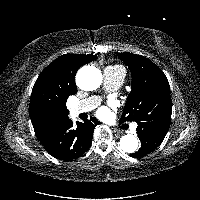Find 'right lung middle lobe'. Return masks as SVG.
Instances as JSON below:
<instances>
[{
	"label": "right lung middle lobe",
	"instance_id": "dd1d6c3e",
	"mask_svg": "<svg viewBox=\"0 0 200 200\" xmlns=\"http://www.w3.org/2000/svg\"><path fill=\"white\" fill-rule=\"evenodd\" d=\"M62 112H63V114H68L69 113L66 107Z\"/></svg>",
	"mask_w": 200,
	"mask_h": 200
}]
</instances>
